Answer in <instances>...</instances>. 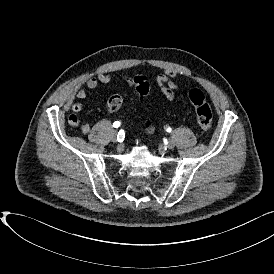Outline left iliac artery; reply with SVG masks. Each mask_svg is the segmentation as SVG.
Masks as SVG:
<instances>
[{"label":"left iliac artery","mask_w":274,"mask_h":274,"mask_svg":"<svg viewBox=\"0 0 274 274\" xmlns=\"http://www.w3.org/2000/svg\"><path fill=\"white\" fill-rule=\"evenodd\" d=\"M166 131H167V132H171L172 129H171L170 127H168V128L166 129Z\"/></svg>","instance_id":"obj_1"}]
</instances>
